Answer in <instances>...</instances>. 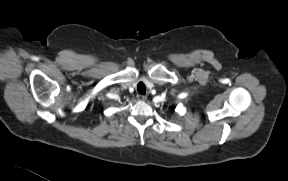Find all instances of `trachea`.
I'll return each instance as SVG.
<instances>
[{"label":"trachea","mask_w":288,"mask_h":181,"mask_svg":"<svg viewBox=\"0 0 288 181\" xmlns=\"http://www.w3.org/2000/svg\"><path fill=\"white\" fill-rule=\"evenodd\" d=\"M137 90L140 94H143L145 95L146 93V86L143 82H140L138 85H137Z\"/></svg>","instance_id":"1"}]
</instances>
